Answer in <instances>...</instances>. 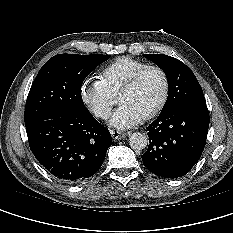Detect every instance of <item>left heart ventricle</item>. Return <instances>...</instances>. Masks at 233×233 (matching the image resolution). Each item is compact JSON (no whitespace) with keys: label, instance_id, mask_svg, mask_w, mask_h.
Returning a JSON list of instances; mask_svg holds the SVG:
<instances>
[{"label":"left heart ventricle","instance_id":"obj_1","mask_svg":"<svg viewBox=\"0 0 233 233\" xmlns=\"http://www.w3.org/2000/svg\"><path fill=\"white\" fill-rule=\"evenodd\" d=\"M164 89L161 74L155 70L146 72L136 86L129 92L119 95V103L127 104L142 117L160 100Z\"/></svg>","mask_w":233,"mask_h":233}]
</instances>
